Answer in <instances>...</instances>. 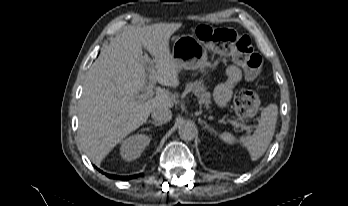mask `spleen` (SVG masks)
I'll list each match as a JSON object with an SVG mask.
<instances>
[{"instance_id":"3e777b00","label":"spleen","mask_w":348,"mask_h":206,"mask_svg":"<svg viewBox=\"0 0 348 206\" xmlns=\"http://www.w3.org/2000/svg\"><path fill=\"white\" fill-rule=\"evenodd\" d=\"M277 114L278 108L275 104L263 108L253 135L239 139V142L248 150L251 160L259 159L267 150L275 132ZM219 138L229 145L236 142V138L229 132L220 133Z\"/></svg>"}]
</instances>
